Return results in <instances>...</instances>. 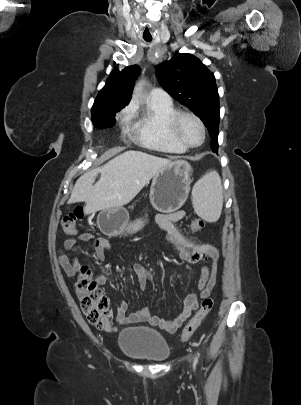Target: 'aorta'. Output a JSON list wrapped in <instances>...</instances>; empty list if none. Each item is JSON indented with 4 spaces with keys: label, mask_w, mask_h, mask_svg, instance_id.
<instances>
[{
    "label": "aorta",
    "mask_w": 301,
    "mask_h": 405,
    "mask_svg": "<svg viewBox=\"0 0 301 405\" xmlns=\"http://www.w3.org/2000/svg\"><path fill=\"white\" fill-rule=\"evenodd\" d=\"M143 84H144V81H140V82L135 86V89H134V97L139 96V94L141 93V91H142V89H143Z\"/></svg>",
    "instance_id": "obj_1"
}]
</instances>
